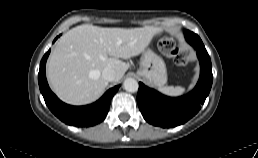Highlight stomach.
<instances>
[{
	"instance_id": "0dacf381",
	"label": "stomach",
	"mask_w": 258,
	"mask_h": 158,
	"mask_svg": "<svg viewBox=\"0 0 258 158\" xmlns=\"http://www.w3.org/2000/svg\"><path fill=\"white\" fill-rule=\"evenodd\" d=\"M137 74L155 86H163L167 82V71L164 61L150 49L143 51Z\"/></svg>"
}]
</instances>
